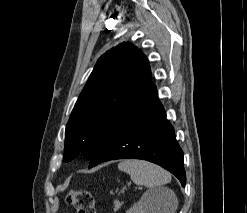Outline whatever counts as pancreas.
<instances>
[{"label":"pancreas","instance_id":"pancreas-1","mask_svg":"<svg viewBox=\"0 0 247 213\" xmlns=\"http://www.w3.org/2000/svg\"><path fill=\"white\" fill-rule=\"evenodd\" d=\"M123 203L122 202H119L118 200H115L114 201V209L117 210L121 207Z\"/></svg>","mask_w":247,"mask_h":213}]
</instances>
